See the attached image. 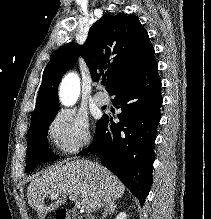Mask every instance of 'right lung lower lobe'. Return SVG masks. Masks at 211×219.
Segmentation results:
<instances>
[{"mask_svg":"<svg viewBox=\"0 0 211 219\" xmlns=\"http://www.w3.org/2000/svg\"><path fill=\"white\" fill-rule=\"evenodd\" d=\"M113 104L120 108L119 123L104 114L97 122L94 141L81 151L91 150L143 205L150 191L153 144L160 121L161 81L156 60L121 81L110 93Z\"/></svg>","mask_w":211,"mask_h":219,"instance_id":"1","label":"right lung lower lobe"}]
</instances>
